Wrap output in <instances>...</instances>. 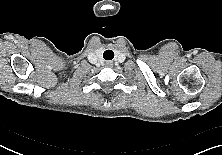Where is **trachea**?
Masks as SVG:
<instances>
[{
  "mask_svg": "<svg viewBox=\"0 0 222 155\" xmlns=\"http://www.w3.org/2000/svg\"><path fill=\"white\" fill-rule=\"evenodd\" d=\"M103 58L105 60H112L114 58V52L112 50H106L103 53Z\"/></svg>",
  "mask_w": 222,
  "mask_h": 155,
  "instance_id": "1",
  "label": "trachea"
}]
</instances>
